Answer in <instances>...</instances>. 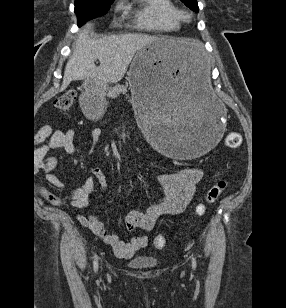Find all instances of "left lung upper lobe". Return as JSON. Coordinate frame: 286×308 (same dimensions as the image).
<instances>
[{"instance_id": "5c2ea615", "label": "left lung upper lobe", "mask_w": 286, "mask_h": 308, "mask_svg": "<svg viewBox=\"0 0 286 308\" xmlns=\"http://www.w3.org/2000/svg\"><path fill=\"white\" fill-rule=\"evenodd\" d=\"M187 7L195 12L199 11V7L196 0H181Z\"/></svg>"}]
</instances>
